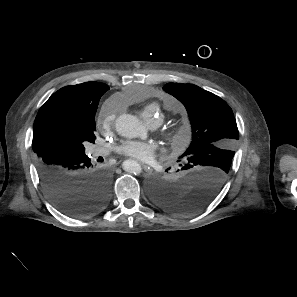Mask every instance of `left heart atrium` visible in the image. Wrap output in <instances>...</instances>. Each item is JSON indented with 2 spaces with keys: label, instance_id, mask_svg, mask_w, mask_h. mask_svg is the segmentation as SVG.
<instances>
[{
  "label": "left heart atrium",
  "instance_id": "39dd6f15",
  "mask_svg": "<svg viewBox=\"0 0 297 297\" xmlns=\"http://www.w3.org/2000/svg\"><path fill=\"white\" fill-rule=\"evenodd\" d=\"M118 150L121 154L138 161L150 162L155 157L157 144L152 141L130 140L123 142Z\"/></svg>",
  "mask_w": 297,
  "mask_h": 297
}]
</instances>
